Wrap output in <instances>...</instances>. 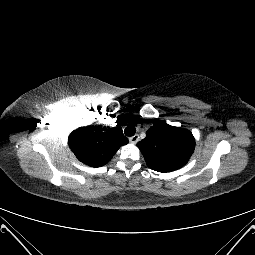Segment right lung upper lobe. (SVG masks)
<instances>
[{
	"label": "right lung upper lobe",
	"mask_w": 255,
	"mask_h": 255,
	"mask_svg": "<svg viewBox=\"0 0 255 255\" xmlns=\"http://www.w3.org/2000/svg\"><path fill=\"white\" fill-rule=\"evenodd\" d=\"M68 143L76 157L91 167H101L108 163L117 150L128 143L120 126L81 127L74 130Z\"/></svg>",
	"instance_id": "obj_1"
}]
</instances>
